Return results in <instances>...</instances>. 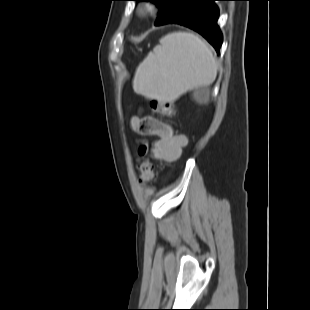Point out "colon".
Here are the masks:
<instances>
[{
    "instance_id": "obj_1",
    "label": "colon",
    "mask_w": 310,
    "mask_h": 310,
    "mask_svg": "<svg viewBox=\"0 0 310 310\" xmlns=\"http://www.w3.org/2000/svg\"><path fill=\"white\" fill-rule=\"evenodd\" d=\"M150 107L153 113L163 117H172L175 112L174 104L170 101L152 100ZM139 152L142 156L140 164V181L147 184L154 180L155 166L152 159L148 156L149 147L147 145L141 146Z\"/></svg>"
}]
</instances>
